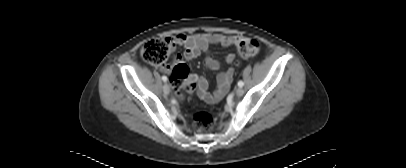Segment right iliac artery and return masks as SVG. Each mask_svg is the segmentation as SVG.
<instances>
[{"label": "right iliac artery", "mask_w": 406, "mask_h": 168, "mask_svg": "<svg viewBox=\"0 0 406 168\" xmlns=\"http://www.w3.org/2000/svg\"><path fill=\"white\" fill-rule=\"evenodd\" d=\"M162 80H163L164 82H166V81H167V77H166V76H162Z\"/></svg>", "instance_id": "82829eb1"}]
</instances>
